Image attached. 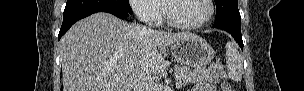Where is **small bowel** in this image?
I'll return each instance as SVG.
<instances>
[{"label": "small bowel", "instance_id": "c3829d8e", "mask_svg": "<svg viewBox=\"0 0 304 91\" xmlns=\"http://www.w3.org/2000/svg\"><path fill=\"white\" fill-rule=\"evenodd\" d=\"M214 87L208 82L198 83L192 88V91H214Z\"/></svg>", "mask_w": 304, "mask_h": 91}]
</instances>
